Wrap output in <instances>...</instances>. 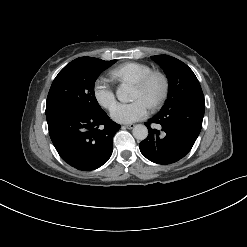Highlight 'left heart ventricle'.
Wrapping results in <instances>:
<instances>
[{
  "label": "left heart ventricle",
  "instance_id": "obj_1",
  "mask_svg": "<svg viewBox=\"0 0 247 247\" xmlns=\"http://www.w3.org/2000/svg\"><path fill=\"white\" fill-rule=\"evenodd\" d=\"M160 89H161V83L159 80L153 81L148 91H142L135 86L133 98L134 99L141 98L150 105L152 99L159 93Z\"/></svg>",
  "mask_w": 247,
  "mask_h": 247
}]
</instances>
